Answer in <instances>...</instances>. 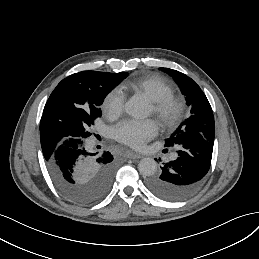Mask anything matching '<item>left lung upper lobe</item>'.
I'll use <instances>...</instances> for the list:
<instances>
[{"mask_svg": "<svg viewBox=\"0 0 259 259\" xmlns=\"http://www.w3.org/2000/svg\"><path fill=\"white\" fill-rule=\"evenodd\" d=\"M161 70L173 77L190 107V117L165 140V147H178L187 132H200L207 140H214L215 127L212 108L197 83L179 71L169 68H161Z\"/></svg>", "mask_w": 259, "mask_h": 259, "instance_id": "left-lung-upper-lobe-1", "label": "left lung upper lobe"}]
</instances>
